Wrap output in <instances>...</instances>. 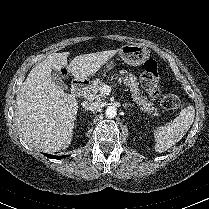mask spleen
Wrapping results in <instances>:
<instances>
[{"instance_id":"obj_1","label":"spleen","mask_w":209,"mask_h":209,"mask_svg":"<svg viewBox=\"0 0 209 209\" xmlns=\"http://www.w3.org/2000/svg\"><path fill=\"white\" fill-rule=\"evenodd\" d=\"M195 109L188 106L171 122L155 130V151L164 152L179 142L193 124Z\"/></svg>"}]
</instances>
